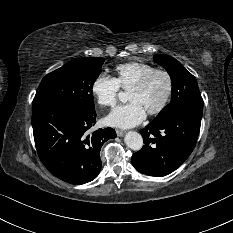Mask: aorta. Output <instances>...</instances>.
<instances>
[{
  "instance_id": "1",
  "label": "aorta",
  "mask_w": 233,
  "mask_h": 233,
  "mask_svg": "<svg viewBox=\"0 0 233 233\" xmlns=\"http://www.w3.org/2000/svg\"><path fill=\"white\" fill-rule=\"evenodd\" d=\"M118 98L121 102H126L127 95L125 92L121 91L118 93ZM124 141H125L127 147L134 150V151L141 150V148L143 146V138H142L141 134H139L135 131H129L125 135Z\"/></svg>"
}]
</instances>
